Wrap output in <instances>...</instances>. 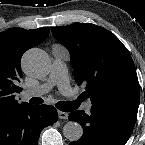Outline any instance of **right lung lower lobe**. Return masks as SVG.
Instances as JSON below:
<instances>
[{
  "label": "right lung lower lobe",
  "instance_id": "98d812e1",
  "mask_svg": "<svg viewBox=\"0 0 145 145\" xmlns=\"http://www.w3.org/2000/svg\"><path fill=\"white\" fill-rule=\"evenodd\" d=\"M58 113L50 105H25L0 116V145H38L43 128L55 123Z\"/></svg>",
  "mask_w": 145,
  "mask_h": 145
}]
</instances>
